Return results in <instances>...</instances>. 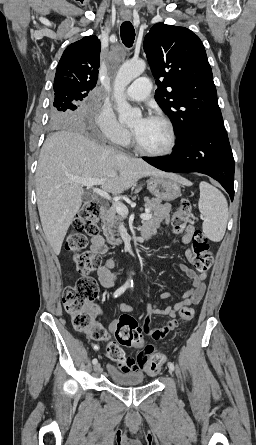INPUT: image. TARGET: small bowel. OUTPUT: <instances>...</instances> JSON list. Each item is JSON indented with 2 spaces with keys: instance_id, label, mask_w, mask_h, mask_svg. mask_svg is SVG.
<instances>
[{
  "instance_id": "1",
  "label": "small bowel",
  "mask_w": 256,
  "mask_h": 445,
  "mask_svg": "<svg viewBox=\"0 0 256 445\" xmlns=\"http://www.w3.org/2000/svg\"><path fill=\"white\" fill-rule=\"evenodd\" d=\"M169 211V205L164 204L161 206L158 211L155 213L154 218L147 223V225L143 228L144 236H152L154 235L161 224L167 221V214ZM194 230L189 227L187 232L182 236L181 241L184 244H188L193 236ZM109 251L108 245L104 237L100 234H95L91 238V253L95 255H104ZM186 256L188 259H192L191 251H187ZM115 261L112 258H107L99 268H97V276L100 285L104 288H111L114 286L116 281V274L114 273ZM179 269L183 272L188 278L192 280V285L189 289H186L183 293V297L180 301L175 303L172 306L161 307L157 304H149L148 305V313L149 314H158V315H166L170 318L163 326L161 327H151V319L150 317H146L143 322V333L152 337L154 340H159L163 338L170 331L175 330L178 327V323L175 320L178 312H180L183 308L190 304H197L203 298L206 291V277L207 273H196L194 270L189 268L185 264H180ZM161 299H166L170 297V293L163 292L160 295ZM121 310L124 312H130L133 310L132 306L126 303L121 304ZM117 320L113 321L109 325V330L114 332L116 329ZM94 350L99 351L100 347L95 345L93 347ZM155 350V345L149 344L145 347V351L141 352L137 357H126L125 360L121 363H118L119 369L123 371H143L146 367V364L149 359V355ZM105 355L109 356L108 352L105 351Z\"/></svg>"
}]
</instances>
